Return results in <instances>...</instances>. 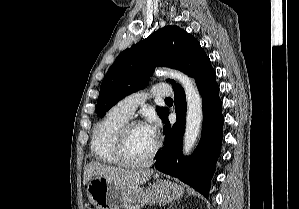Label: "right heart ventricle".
<instances>
[{
  "mask_svg": "<svg viewBox=\"0 0 299 209\" xmlns=\"http://www.w3.org/2000/svg\"><path fill=\"white\" fill-rule=\"evenodd\" d=\"M128 120L127 116L114 107L96 124L91 140V150L98 161L119 164L115 154L116 136Z\"/></svg>",
  "mask_w": 299,
  "mask_h": 209,
  "instance_id": "right-heart-ventricle-1",
  "label": "right heart ventricle"
}]
</instances>
